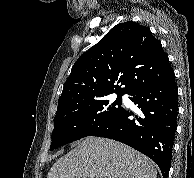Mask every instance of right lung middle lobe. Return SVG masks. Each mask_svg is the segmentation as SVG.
Instances as JSON below:
<instances>
[{"label":"right lung middle lobe","mask_w":194,"mask_h":178,"mask_svg":"<svg viewBox=\"0 0 194 178\" xmlns=\"http://www.w3.org/2000/svg\"><path fill=\"white\" fill-rule=\"evenodd\" d=\"M121 98L110 102L108 95H103L57 110L50 150L88 136L122 109Z\"/></svg>","instance_id":"dd1d6c3e"}]
</instances>
